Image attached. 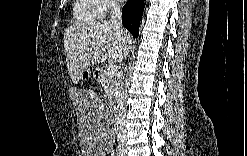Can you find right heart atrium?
<instances>
[{"mask_svg":"<svg viewBox=\"0 0 247 156\" xmlns=\"http://www.w3.org/2000/svg\"><path fill=\"white\" fill-rule=\"evenodd\" d=\"M100 3L102 5L103 14L109 12L111 9H113L117 5V2L113 0H104V1H100Z\"/></svg>","mask_w":247,"mask_h":156,"instance_id":"obj_1","label":"right heart atrium"}]
</instances>
